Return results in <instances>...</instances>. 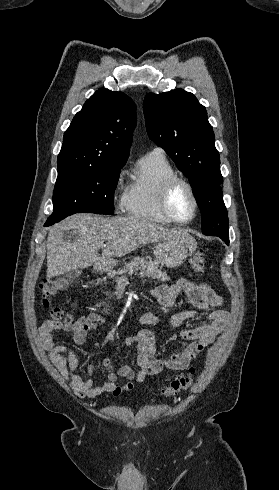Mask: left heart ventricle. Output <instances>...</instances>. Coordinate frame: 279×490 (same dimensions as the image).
Wrapping results in <instances>:
<instances>
[{"label": "left heart ventricle", "instance_id": "obj_1", "mask_svg": "<svg viewBox=\"0 0 279 490\" xmlns=\"http://www.w3.org/2000/svg\"><path fill=\"white\" fill-rule=\"evenodd\" d=\"M173 210L180 220L188 219L193 212V202L188 189L181 186L173 198Z\"/></svg>", "mask_w": 279, "mask_h": 490}]
</instances>
